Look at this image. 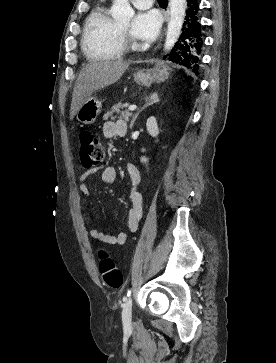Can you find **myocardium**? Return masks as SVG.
Instances as JSON below:
<instances>
[{"label": "myocardium", "mask_w": 276, "mask_h": 363, "mask_svg": "<svg viewBox=\"0 0 276 363\" xmlns=\"http://www.w3.org/2000/svg\"><path fill=\"white\" fill-rule=\"evenodd\" d=\"M119 41L123 50L132 49L135 47V43L129 36L128 31L123 29L121 26H119Z\"/></svg>", "instance_id": "1"}]
</instances>
